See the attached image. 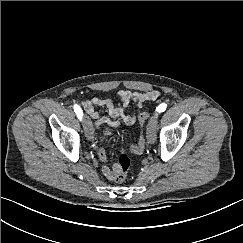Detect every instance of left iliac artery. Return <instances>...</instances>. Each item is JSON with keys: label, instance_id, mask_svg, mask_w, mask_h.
<instances>
[{"label": "left iliac artery", "instance_id": "left-iliac-artery-1", "mask_svg": "<svg viewBox=\"0 0 243 243\" xmlns=\"http://www.w3.org/2000/svg\"><path fill=\"white\" fill-rule=\"evenodd\" d=\"M166 108H167V104L162 103V104H160V105L156 108V112L161 113V112L165 111Z\"/></svg>", "mask_w": 243, "mask_h": 243}]
</instances>
